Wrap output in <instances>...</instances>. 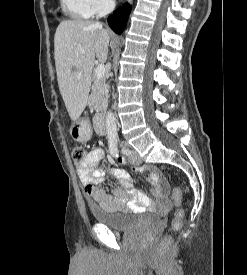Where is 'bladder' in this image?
<instances>
[{"label": "bladder", "mask_w": 247, "mask_h": 275, "mask_svg": "<svg viewBox=\"0 0 247 275\" xmlns=\"http://www.w3.org/2000/svg\"><path fill=\"white\" fill-rule=\"evenodd\" d=\"M91 214L97 224L104 225L113 231L129 232L137 226H153L162 221L160 215L144 213L139 220L133 213L109 212L107 210L91 206Z\"/></svg>", "instance_id": "31cf9c89"}]
</instances>
